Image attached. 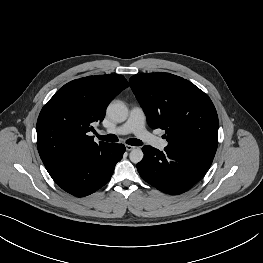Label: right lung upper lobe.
<instances>
[{
    "label": "right lung upper lobe",
    "mask_w": 263,
    "mask_h": 263,
    "mask_svg": "<svg viewBox=\"0 0 263 263\" xmlns=\"http://www.w3.org/2000/svg\"><path fill=\"white\" fill-rule=\"evenodd\" d=\"M129 83L122 75H97L61 87L42 108L37 120V147L51 177L77 159L108 143L89 136L101 122L108 103Z\"/></svg>",
    "instance_id": "obj_1"
}]
</instances>
